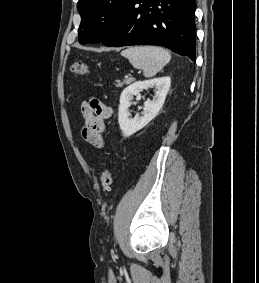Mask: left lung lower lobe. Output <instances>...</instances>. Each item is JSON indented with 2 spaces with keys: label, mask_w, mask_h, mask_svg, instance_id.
<instances>
[{
  "label": "left lung lower lobe",
  "mask_w": 259,
  "mask_h": 283,
  "mask_svg": "<svg viewBox=\"0 0 259 283\" xmlns=\"http://www.w3.org/2000/svg\"><path fill=\"white\" fill-rule=\"evenodd\" d=\"M196 0H131L106 46L158 45L195 61Z\"/></svg>",
  "instance_id": "0a47b994"
}]
</instances>
